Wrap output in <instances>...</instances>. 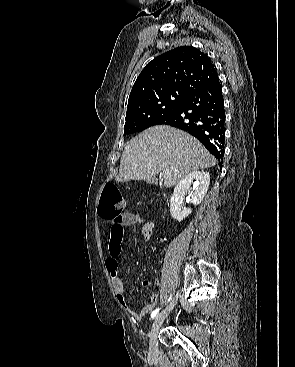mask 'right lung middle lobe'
Masks as SVG:
<instances>
[{"instance_id": "1", "label": "right lung middle lobe", "mask_w": 295, "mask_h": 367, "mask_svg": "<svg viewBox=\"0 0 295 367\" xmlns=\"http://www.w3.org/2000/svg\"><path fill=\"white\" fill-rule=\"evenodd\" d=\"M189 95L165 92L133 102L127 107L124 135L143 131L179 108Z\"/></svg>"}]
</instances>
